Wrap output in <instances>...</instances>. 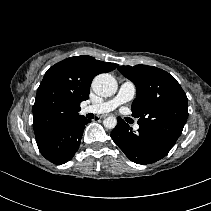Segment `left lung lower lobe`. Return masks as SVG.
<instances>
[{
  "label": "left lung lower lobe",
  "instance_id": "left-lung-lower-lobe-1",
  "mask_svg": "<svg viewBox=\"0 0 211 211\" xmlns=\"http://www.w3.org/2000/svg\"><path fill=\"white\" fill-rule=\"evenodd\" d=\"M111 137L125 155L137 164H150L165 157L173 145L166 143L150 130L139 128L134 133L120 117Z\"/></svg>",
  "mask_w": 211,
  "mask_h": 211
}]
</instances>
